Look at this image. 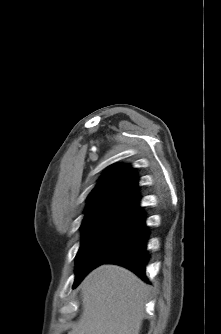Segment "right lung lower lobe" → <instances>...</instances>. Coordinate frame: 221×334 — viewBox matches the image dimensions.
<instances>
[{
  "instance_id": "98d812e1",
  "label": "right lung lower lobe",
  "mask_w": 221,
  "mask_h": 334,
  "mask_svg": "<svg viewBox=\"0 0 221 334\" xmlns=\"http://www.w3.org/2000/svg\"><path fill=\"white\" fill-rule=\"evenodd\" d=\"M148 230L145 224L140 231L106 263H113L132 270L142 280L149 282L145 270L150 255L146 251Z\"/></svg>"
}]
</instances>
